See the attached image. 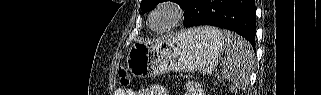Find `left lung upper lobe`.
<instances>
[{
	"label": "left lung upper lobe",
	"mask_w": 321,
	"mask_h": 95,
	"mask_svg": "<svg viewBox=\"0 0 321 95\" xmlns=\"http://www.w3.org/2000/svg\"><path fill=\"white\" fill-rule=\"evenodd\" d=\"M164 1H167V0H142L140 4L141 11L143 13H146L152 10L153 7L156 6L158 3H161ZM173 1L179 4L181 9H184L186 5L190 2V0H173Z\"/></svg>",
	"instance_id": "left-lung-upper-lobe-1"
}]
</instances>
